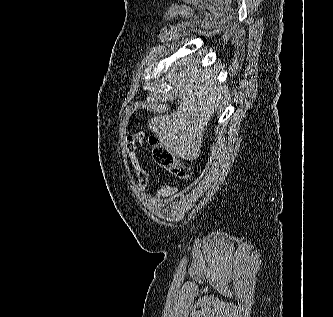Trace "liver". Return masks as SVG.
<instances>
[{"label":"liver","mask_w":333,"mask_h":317,"mask_svg":"<svg viewBox=\"0 0 333 317\" xmlns=\"http://www.w3.org/2000/svg\"><path fill=\"white\" fill-rule=\"evenodd\" d=\"M173 90L178 110L151 118L149 127L167 150L183 160H194L200 154L205 127L227 97L218 87L216 75L207 69L196 68L184 75Z\"/></svg>","instance_id":"1"}]
</instances>
